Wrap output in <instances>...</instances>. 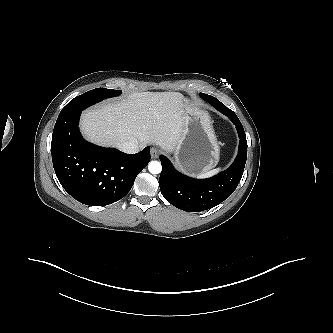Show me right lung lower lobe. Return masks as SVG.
Here are the masks:
<instances>
[{
    "label": "right lung lower lobe",
    "instance_id": "obj_1",
    "mask_svg": "<svg viewBox=\"0 0 333 333\" xmlns=\"http://www.w3.org/2000/svg\"><path fill=\"white\" fill-rule=\"evenodd\" d=\"M81 112H60L52 134V161L63 188L79 202L105 206L122 199L150 161V147L137 154L103 148L84 140Z\"/></svg>",
    "mask_w": 333,
    "mask_h": 333
}]
</instances>
